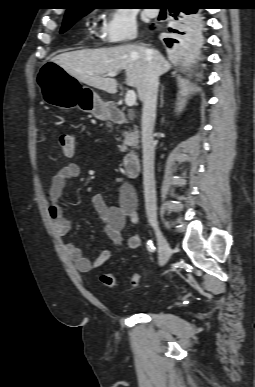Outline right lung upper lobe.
I'll list each match as a JSON object with an SVG mask.
<instances>
[{"mask_svg":"<svg viewBox=\"0 0 255 387\" xmlns=\"http://www.w3.org/2000/svg\"><path fill=\"white\" fill-rule=\"evenodd\" d=\"M87 0H76V3L75 5L77 6H74V7H69L67 9V13H70V12H86V11H91L92 8H90L88 5L87 2H85Z\"/></svg>","mask_w":255,"mask_h":387,"instance_id":"obj_1","label":"right lung upper lobe"}]
</instances>
